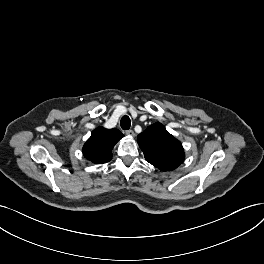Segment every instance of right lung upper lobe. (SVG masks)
<instances>
[{
    "label": "right lung upper lobe",
    "instance_id": "1",
    "mask_svg": "<svg viewBox=\"0 0 264 264\" xmlns=\"http://www.w3.org/2000/svg\"><path fill=\"white\" fill-rule=\"evenodd\" d=\"M124 135L117 129L98 127L83 146L84 157L92 163L102 164L112 159L114 145Z\"/></svg>",
    "mask_w": 264,
    "mask_h": 264
}]
</instances>
